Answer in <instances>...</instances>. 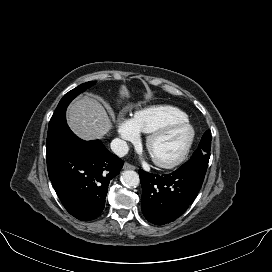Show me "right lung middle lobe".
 <instances>
[{"mask_svg":"<svg viewBox=\"0 0 272 272\" xmlns=\"http://www.w3.org/2000/svg\"><path fill=\"white\" fill-rule=\"evenodd\" d=\"M95 84V81H90L69 91L60 100L48 126L46 145H49L58 138L67 127L65 112L68 104L80 93L84 92L87 88Z\"/></svg>","mask_w":272,"mask_h":272,"instance_id":"1","label":"right lung middle lobe"}]
</instances>
